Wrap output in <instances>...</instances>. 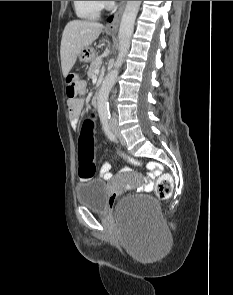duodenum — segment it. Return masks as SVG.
Returning a JSON list of instances; mask_svg holds the SVG:
<instances>
[{"instance_id": "obj_1", "label": "duodenum", "mask_w": 233, "mask_h": 295, "mask_svg": "<svg viewBox=\"0 0 233 295\" xmlns=\"http://www.w3.org/2000/svg\"><path fill=\"white\" fill-rule=\"evenodd\" d=\"M99 94H95L92 98L91 104L93 106V108L97 109L98 105H99Z\"/></svg>"}]
</instances>
